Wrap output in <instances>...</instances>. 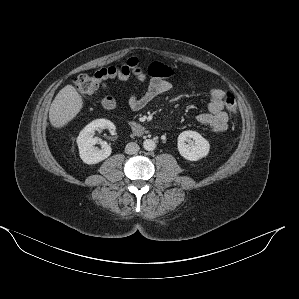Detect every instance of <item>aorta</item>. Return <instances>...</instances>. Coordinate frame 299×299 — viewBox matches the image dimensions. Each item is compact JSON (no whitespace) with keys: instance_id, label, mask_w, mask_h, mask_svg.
<instances>
[{"instance_id":"obj_1","label":"aorta","mask_w":299,"mask_h":299,"mask_svg":"<svg viewBox=\"0 0 299 299\" xmlns=\"http://www.w3.org/2000/svg\"><path fill=\"white\" fill-rule=\"evenodd\" d=\"M143 147L147 151H153L156 148V143L152 139H146L143 142Z\"/></svg>"}]
</instances>
